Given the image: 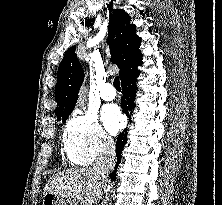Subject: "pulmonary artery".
I'll list each match as a JSON object with an SVG mask.
<instances>
[{
  "label": "pulmonary artery",
  "instance_id": "e3ab8cb5",
  "mask_svg": "<svg viewBox=\"0 0 222 205\" xmlns=\"http://www.w3.org/2000/svg\"><path fill=\"white\" fill-rule=\"evenodd\" d=\"M100 96L105 101H111L116 97V91L112 84L106 83L102 86Z\"/></svg>",
  "mask_w": 222,
  "mask_h": 205
}]
</instances>
